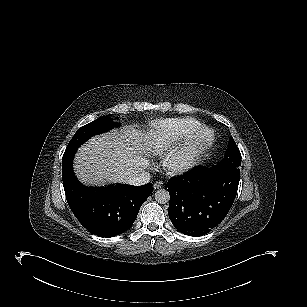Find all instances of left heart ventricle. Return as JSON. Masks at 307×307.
<instances>
[{
  "instance_id": "b2bd125f",
  "label": "left heart ventricle",
  "mask_w": 307,
  "mask_h": 307,
  "mask_svg": "<svg viewBox=\"0 0 307 307\" xmlns=\"http://www.w3.org/2000/svg\"><path fill=\"white\" fill-rule=\"evenodd\" d=\"M201 137H202L203 140H206V139H208V137H209V133L206 132V131H204V132L202 133ZM189 152H190L189 149H185V150H183V152L181 153V156H182V157H187V156H189Z\"/></svg>"
}]
</instances>
